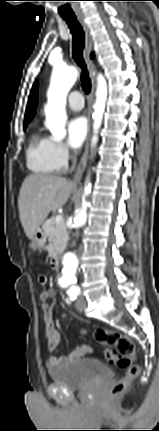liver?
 I'll return each instance as SVG.
<instances>
[{
    "label": "liver",
    "instance_id": "1",
    "mask_svg": "<svg viewBox=\"0 0 159 431\" xmlns=\"http://www.w3.org/2000/svg\"><path fill=\"white\" fill-rule=\"evenodd\" d=\"M75 185L64 177L49 174L28 175L20 188L19 216L26 236L31 239L52 211L63 207Z\"/></svg>",
    "mask_w": 159,
    "mask_h": 431
}]
</instances>
